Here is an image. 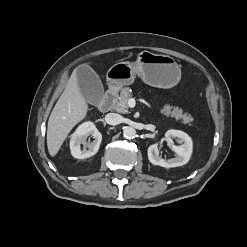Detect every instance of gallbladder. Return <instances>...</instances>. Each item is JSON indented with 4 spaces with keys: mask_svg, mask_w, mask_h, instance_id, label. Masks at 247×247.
Returning a JSON list of instances; mask_svg holds the SVG:
<instances>
[{
    "mask_svg": "<svg viewBox=\"0 0 247 247\" xmlns=\"http://www.w3.org/2000/svg\"><path fill=\"white\" fill-rule=\"evenodd\" d=\"M76 76L84 99L92 105H99L104 88L98 74L89 65L83 64L76 68Z\"/></svg>",
    "mask_w": 247,
    "mask_h": 247,
    "instance_id": "bac80fb5",
    "label": "gallbladder"
}]
</instances>
